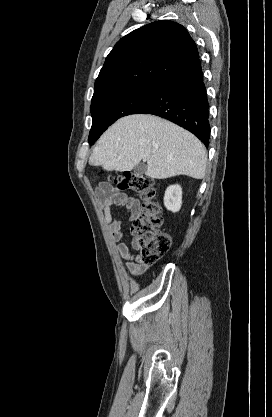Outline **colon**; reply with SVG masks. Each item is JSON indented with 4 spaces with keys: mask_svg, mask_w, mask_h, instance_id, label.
I'll use <instances>...</instances> for the list:
<instances>
[{
    "mask_svg": "<svg viewBox=\"0 0 272 417\" xmlns=\"http://www.w3.org/2000/svg\"><path fill=\"white\" fill-rule=\"evenodd\" d=\"M120 190H131L142 199L139 215L131 225L144 265H152L163 257L170 248V236L159 230L162 224L161 206L155 201L157 189L154 181L140 174L124 172L112 178Z\"/></svg>",
    "mask_w": 272,
    "mask_h": 417,
    "instance_id": "1",
    "label": "colon"
}]
</instances>
